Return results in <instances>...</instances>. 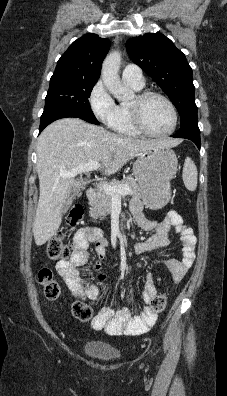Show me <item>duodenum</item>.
<instances>
[{
    "label": "duodenum",
    "instance_id": "1",
    "mask_svg": "<svg viewBox=\"0 0 227 396\" xmlns=\"http://www.w3.org/2000/svg\"><path fill=\"white\" fill-rule=\"evenodd\" d=\"M96 197H97L96 191L94 189H92V188L89 189L88 192H87L88 202L89 203H94L95 200H96Z\"/></svg>",
    "mask_w": 227,
    "mask_h": 396
}]
</instances>
